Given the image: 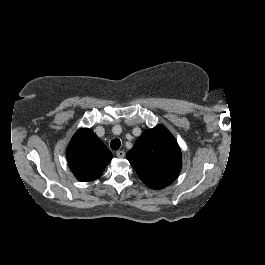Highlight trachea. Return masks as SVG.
Listing matches in <instances>:
<instances>
[{
	"mask_svg": "<svg viewBox=\"0 0 265 265\" xmlns=\"http://www.w3.org/2000/svg\"><path fill=\"white\" fill-rule=\"evenodd\" d=\"M121 141L119 139H113L110 143L112 150H118L120 148Z\"/></svg>",
	"mask_w": 265,
	"mask_h": 265,
	"instance_id": "obj_1",
	"label": "trachea"
}]
</instances>
